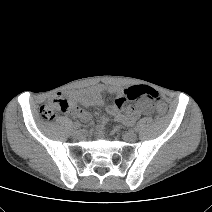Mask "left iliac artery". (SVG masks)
<instances>
[{
	"mask_svg": "<svg viewBox=\"0 0 212 212\" xmlns=\"http://www.w3.org/2000/svg\"><path fill=\"white\" fill-rule=\"evenodd\" d=\"M134 130H135V131H137V130H138V127H137V126H135V127H134Z\"/></svg>",
	"mask_w": 212,
	"mask_h": 212,
	"instance_id": "obj_1",
	"label": "left iliac artery"
}]
</instances>
